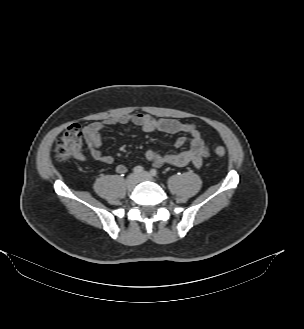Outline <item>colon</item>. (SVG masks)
<instances>
[{"label":"colon","mask_w":304,"mask_h":329,"mask_svg":"<svg viewBox=\"0 0 304 329\" xmlns=\"http://www.w3.org/2000/svg\"><path fill=\"white\" fill-rule=\"evenodd\" d=\"M84 145V131L78 124L70 125L58 138L55 147V157L58 161H66L78 156ZM214 153L218 157L226 155L223 146H216Z\"/></svg>","instance_id":"obj_1"}]
</instances>
